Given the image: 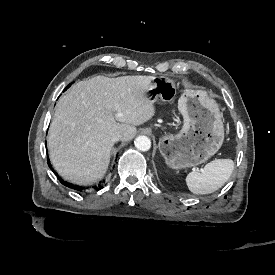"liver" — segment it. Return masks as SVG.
<instances>
[{
    "mask_svg": "<svg viewBox=\"0 0 275 275\" xmlns=\"http://www.w3.org/2000/svg\"><path fill=\"white\" fill-rule=\"evenodd\" d=\"M151 76H103L81 81L57 103L50 126L48 148L53 166L66 180L88 185L107 172L112 134L121 132L126 142L135 126L157 113L147 92Z\"/></svg>",
    "mask_w": 275,
    "mask_h": 275,
    "instance_id": "liver-1",
    "label": "liver"
}]
</instances>
